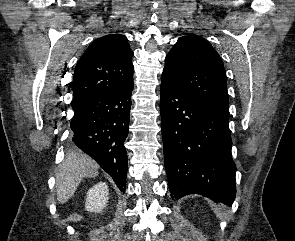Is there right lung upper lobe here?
I'll return each instance as SVG.
<instances>
[{
	"label": "right lung upper lobe",
	"instance_id": "obj_1",
	"mask_svg": "<svg viewBox=\"0 0 295 241\" xmlns=\"http://www.w3.org/2000/svg\"><path fill=\"white\" fill-rule=\"evenodd\" d=\"M132 56L124 35L110 34L92 42L74 71L72 104L133 83Z\"/></svg>",
	"mask_w": 295,
	"mask_h": 241
}]
</instances>
